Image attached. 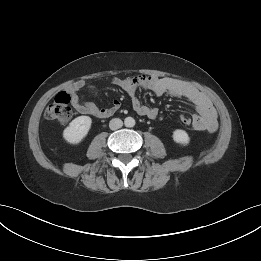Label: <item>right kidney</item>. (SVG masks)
<instances>
[{
    "mask_svg": "<svg viewBox=\"0 0 261 261\" xmlns=\"http://www.w3.org/2000/svg\"><path fill=\"white\" fill-rule=\"evenodd\" d=\"M92 119L89 116H79L72 120L63 131V138L70 144H78L88 134Z\"/></svg>",
    "mask_w": 261,
    "mask_h": 261,
    "instance_id": "ca27d5eb",
    "label": "right kidney"
}]
</instances>
